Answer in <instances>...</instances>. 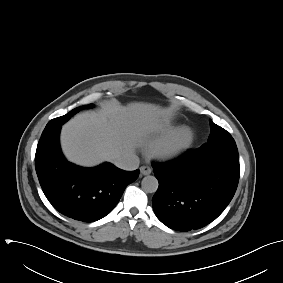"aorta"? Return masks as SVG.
Masks as SVG:
<instances>
[{
    "mask_svg": "<svg viewBox=\"0 0 283 283\" xmlns=\"http://www.w3.org/2000/svg\"><path fill=\"white\" fill-rule=\"evenodd\" d=\"M158 180L156 177L148 175L142 179V189L147 193H154L158 189Z\"/></svg>",
    "mask_w": 283,
    "mask_h": 283,
    "instance_id": "obj_1",
    "label": "aorta"
}]
</instances>
